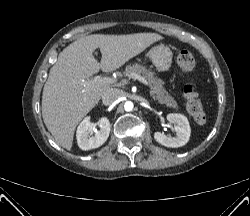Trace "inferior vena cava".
Returning <instances> with one entry per match:
<instances>
[{"label": "inferior vena cava", "instance_id": "obj_1", "mask_svg": "<svg viewBox=\"0 0 250 216\" xmlns=\"http://www.w3.org/2000/svg\"><path fill=\"white\" fill-rule=\"evenodd\" d=\"M123 96V91L117 88H109L102 94L104 104H111Z\"/></svg>", "mask_w": 250, "mask_h": 216}]
</instances>
